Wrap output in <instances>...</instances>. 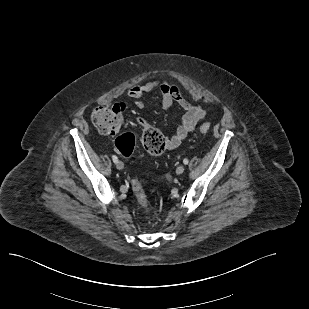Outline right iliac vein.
<instances>
[{
  "instance_id": "obj_1",
  "label": "right iliac vein",
  "mask_w": 309,
  "mask_h": 309,
  "mask_svg": "<svg viewBox=\"0 0 309 309\" xmlns=\"http://www.w3.org/2000/svg\"><path fill=\"white\" fill-rule=\"evenodd\" d=\"M116 167L119 169V170H122L124 168V163L122 161H118L116 163Z\"/></svg>"
}]
</instances>
